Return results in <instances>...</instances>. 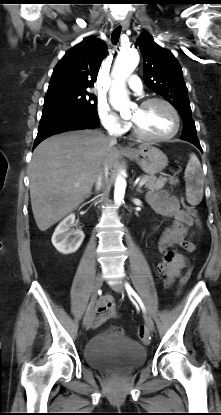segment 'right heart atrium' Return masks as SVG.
I'll return each mask as SVG.
<instances>
[{
    "label": "right heart atrium",
    "mask_w": 221,
    "mask_h": 415,
    "mask_svg": "<svg viewBox=\"0 0 221 415\" xmlns=\"http://www.w3.org/2000/svg\"><path fill=\"white\" fill-rule=\"evenodd\" d=\"M99 120L105 130L113 136H121L129 129V123L115 114L105 102L97 106Z\"/></svg>",
    "instance_id": "1"
}]
</instances>
